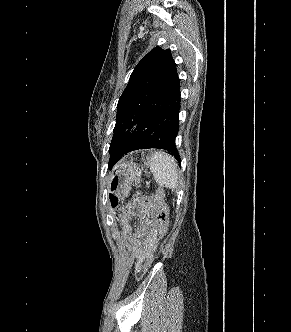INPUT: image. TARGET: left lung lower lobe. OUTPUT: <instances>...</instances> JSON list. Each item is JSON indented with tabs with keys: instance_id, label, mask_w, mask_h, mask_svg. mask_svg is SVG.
I'll return each instance as SVG.
<instances>
[{
	"instance_id": "0a47b994",
	"label": "left lung lower lobe",
	"mask_w": 291,
	"mask_h": 332,
	"mask_svg": "<svg viewBox=\"0 0 291 332\" xmlns=\"http://www.w3.org/2000/svg\"><path fill=\"white\" fill-rule=\"evenodd\" d=\"M180 81L177 72L166 87L147 105L126 144L109 161V168L126 153L138 149L159 148L168 151L180 162L175 139L179 131Z\"/></svg>"
}]
</instances>
